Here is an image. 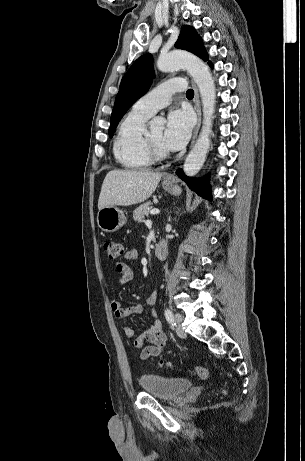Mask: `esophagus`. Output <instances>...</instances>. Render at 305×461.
Wrapping results in <instances>:
<instances>
[{"instance_id": "34e87169", "label": "esophagus", "mask_w": 305, "mask_h": 461, "mask_svg": "<svg viewBox=\"0 0 305 461\" xmlns=\"http://www.w3.org/2000/svg\"><path fill=\"white\" fill-rule=\"evenodd\" d=\"M192 87L194 89V106H195V110H196V113H197V124H196L195 130H194V133H193L191 146L194 145L195 140H196L197 135H198V132H199V129H200V126H201V107H200V100H199V91H198V88H197L196 84L193 81H192ZM165 180L172 181V180H174V177L171 176V175H168V176H166Z\"/></svg>"}]
</instances>
